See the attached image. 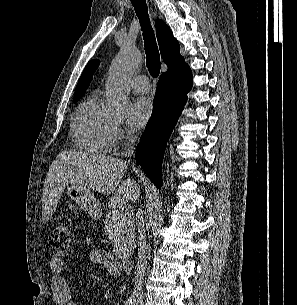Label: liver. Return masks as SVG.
I'll use <instances>...</instances> for the list:
<instances>
[{
	"label": "liver",
	"mask_w": 297,
	"mask_h": 305,
	"mask_svg": "<svg viewBox=\"0 0 297 305\" xmlns=\"http://www.w3.org/2000/svg\"><path fill=\"white\" fill-rule=\"evenodd\" d=\"M127 163L105 155L66 150L52 162L43 188L42 221L52 218L59 199L68 184L84 185L104 195L112 194L110 207L124 206L139 196V186L133 179L122 180Z\"/></svg>",
	"instance_id": "1"
}]
</instances>
